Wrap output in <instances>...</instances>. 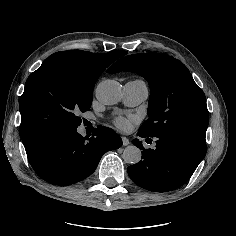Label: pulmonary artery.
Listing matches in <instances>:
<instances>
[{"instance_id": "pulmonary-artery-1", "label": "pulmonary artery", "mask_w": 236, "mask_h": 236, "mask_svg": "<svg viewBox=\"0 0 236 236\" xmlns=\"http://www.w3.org/2000/svg\"><path fill=\"white\" fill-rule=\"evenodd\" d=\"M149 94L147 85L139 80L128 81L124 85L123 102L135 106L146 100Z\"/></svg>"}]
</instances>
